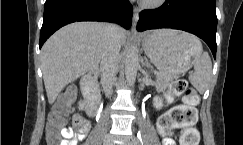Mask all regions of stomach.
I'll use <instances>...</instances> for the list:
<instances>
[{
    "instance_id": "1",
    "label": "stomach",
    "mask_w": 243,
    "mask_h": 145,
    "mask_svg": "<svg viewBox=\"0 0 243 145\" xmlns=\"http://www.w3.org/2000/svg\"><path fill=\"white\" fill-rule=\"evenodd\" d=\"M143 49L152 63L164 74L188 71L202 51L200 41L189 33L161 29L142 39Z\"/></svg>"
}]
</instances>
